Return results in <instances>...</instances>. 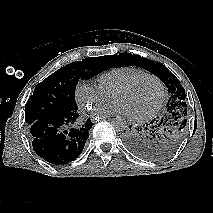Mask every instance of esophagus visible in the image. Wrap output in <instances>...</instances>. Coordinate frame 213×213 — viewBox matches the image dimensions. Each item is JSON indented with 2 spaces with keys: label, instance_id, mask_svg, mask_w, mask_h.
<instances>
[{
  "label": "esophagus",
  "instance_id": "1",
  "mask_svg": "<svg viewBox=\"0 0 213 213\" xmlns=\"http://www.w3.org/2000/svg\"><path fill=\"white\" fill-rule=\"evenodd\" d=\"M99 119H110V120H115L117 119V116L115 115H103V116H99Z\"/></svg>",
  "mask_w": 213,
  "mask_h": 213
}]
</instances>
